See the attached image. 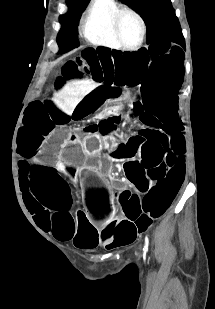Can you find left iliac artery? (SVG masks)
I'll list each match as a JSON object with an SVG mask.
<instances>
[{"label": "left iliac artery", "instance_id": "obj_1", "mask_svg": "<svg viewBox=\"0 0 215 309\" xmlns=\"http://www.w3.org/2000/svg\"><path fill=\"white\" fill-rule=\"evenodd\" d=\"M148 244H149V239H148V236L146 235L145 245H144V248H143L144 253L148 252Z\"/></svg>", "mask_w": 215, "mask_h": 309}]
</instances>
